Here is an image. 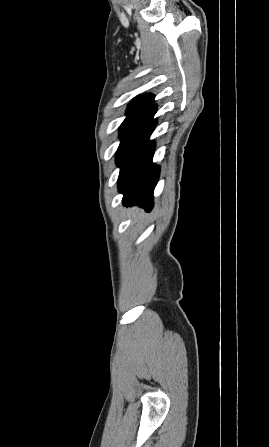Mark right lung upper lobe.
<instances>
[{
  "instance_id": "1",
  "label": "right lung upper lobe",
  "mask_w": 269,
  "mask_h": 447,
  "mask_svg": "<svg viewBox=\"0 0 269 447\" xmlns=\"http://www.w3.org/2000/svg\"><path fill=\"white\" fill-rule=\"evenodd\" d=\"M154 101V96L151 94H145L134 99L128 106L127 115H131L137 111H140L148 107Z\"/></svg>"
}]
</instances>
